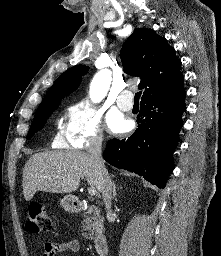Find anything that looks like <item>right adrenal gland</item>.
Listing matches in <instances>:
<instances>
[{
    "mask_svg": "<svg viewBox=\"0 0 221 256\" xmlns=\"http://www.w3.org/2000/svg\"><path fill=\"white\" fill-rule=\"evenodd\" d=\"M112 186H113V198H115L116 197V186H115L114 182L112 183Z\"/></svg>",
    "mask_w": 221,
    "mask_h": 256,
    "instance_id": "2a0ac1e0",
    "label": "right adrenal gland"
}]
</instances>
